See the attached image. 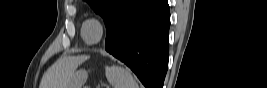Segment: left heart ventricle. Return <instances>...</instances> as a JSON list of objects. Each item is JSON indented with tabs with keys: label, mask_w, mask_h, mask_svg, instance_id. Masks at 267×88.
<instances>
[{
	"label": "left heart ventricle",
	"mask_w": 267,
	"mask_h": 88,
	"mask_svg": "<svg viewBox=\"0 0 267 88\" xmlns=\"http://www.w3.org/2000/svg\"><path fill=\"white\" fill-rule=\"evenodd\" d=\"M99 36V29L94 23H90L86 27V37L89 41L97 39Z\"/></svg>",
	"instance_id": "left-heart-ventricle-1"
}]
</instances>
